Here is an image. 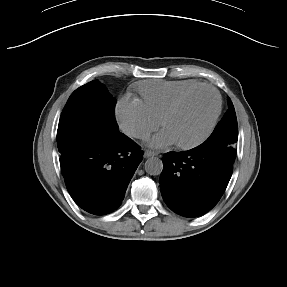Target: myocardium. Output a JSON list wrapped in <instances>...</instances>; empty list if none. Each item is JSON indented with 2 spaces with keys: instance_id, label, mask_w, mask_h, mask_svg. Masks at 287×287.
Segmentation results:
<instances>
[{
  "instance_id": "obj_1",
  "label": "myocardium",
  "mask_w": 287,
  "mask_h": 287,
  "mask_svg": "<svg viewBox=\"0 0 287 287\" xmlns=\"http://www.w3.org/2000/svg\"><path fill=\"white\" fill-rule=\"evenodd\" d=\"M200 90H208L214 95V97H215V110H214V113L212 115V118H211L206 130L204 131V133L200 137H198L197 139H195L191 142H188V143H176L177 147L182 149V150H189V149L196 148V147L200 146L201 144H203L210 137V135L212 134V132H213V130H214V128L218 122L219 116L221 114V110H222L221 95L219 94L217 89H215L211 85L200 84L198 86H195V87L187 90L181 96H179L173 102V104L168 108V110L164 113L163 117L161 118V125H162V127H164L167 120L170 119L173 115H175L177 113V111L180 109V107L183 105V103L191 95H193L194 93H196Z\"/></svg>"
}]
</instances>
